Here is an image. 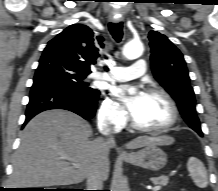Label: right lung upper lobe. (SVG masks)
I'll return each instance as SVG.
<instances>
[{
    "instance_id": "1",
    "label": "right lung upper lobe",
    "mask_w": 218,
    "mask_h": 191,
    "mask_svg": "<svg viewBox=\"0 0 218 191\" xmlns=\"http://www.w3.org/2000/svg\"><path fill=\"white\" fill-rule=\"evenodd\" d=\"M103 38L94 36L86 25L73 24L48 42L42 57L50 56L68 63L73 68L90 73V65L99 57Z\"/></svg>"
}]
</instances>
